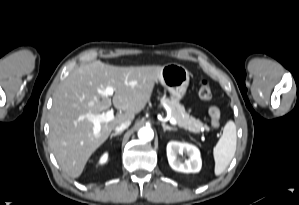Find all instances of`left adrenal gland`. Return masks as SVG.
<instances>
[{"label":"left adrenal gland","instance_id":"obj_1","mask_svg":"<svg viewBox=\"0 0 299 205\" xmlns=\"http://www.w3.org/2000/svg\"><path fill=\"white\" fill-rule=\"evenodd\" d=\"M162 127H163V130H164V131H166V130H169V131H177L176 128L170 127V126L166 125L165 123H162Z\"/></svg>","mask_w":299,"mask_h":205}]
</instances>
